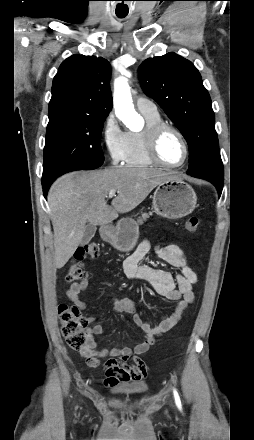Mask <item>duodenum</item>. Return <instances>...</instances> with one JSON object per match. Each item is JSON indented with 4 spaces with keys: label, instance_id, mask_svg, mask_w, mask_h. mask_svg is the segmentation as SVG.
Returning <instances> with one entry per match:
<instances>
[{
    "label": "duodenum",
    "instance_id": "obj_1",
    "mask_svg": "<svg viewBox=\"0 0 254 440\" xmlns=\"http://www.w3.org/2000/svg\"><path fill=\"white\" fill-rule=\"evenodd\" d=\"M109 231V229L108 228H105V232L107 233Z\"/></svg>",
    "mask_w": 254,
    "mask_h": 440
}]
</instances>
